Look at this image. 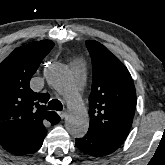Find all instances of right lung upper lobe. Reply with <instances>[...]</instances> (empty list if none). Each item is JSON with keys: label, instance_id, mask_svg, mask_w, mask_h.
<instances>
[{"label": "right lung upper lobe", "instance_id": "1", "mask_svg": "<svg viewBox=\"0 0 165 165\" xmlns=\"http://www.w3.org/2000/svg\"><path fill=\"white\" fill-rule=\"evenodd\" d=\"M42 40L14 50L0 64V143L10 153L42 137L46 124H57L60 117L47 111L48 94L35 93L29 82L43 58L53 48Z\"/></svg>", "mask_w": 165, "mask_h": 165}]
</instances>
